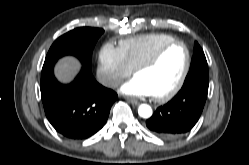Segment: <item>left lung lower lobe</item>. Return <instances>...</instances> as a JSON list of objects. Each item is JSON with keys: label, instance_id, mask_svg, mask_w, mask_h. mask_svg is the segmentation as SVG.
<instances>
[{"label": "left lung lower lobe", "instance_id": "obj_1", "mask_svg": "<svg viewBox=\"0 0 249 165\" xmlns=\"http://www.w3.org/2000/svg\"><path fill=\"white\" fill-rule=\"evenodd\" d=\"M208 86V78L186 80L173 99L160 106L146 121L148 129L165 139L177 138L189 132L200 118Z\"/></svg>", "mask_w": 249, "mask_h": 165}]
</instances>
